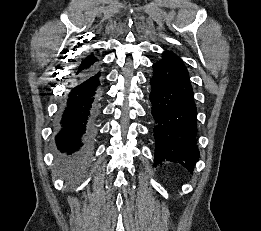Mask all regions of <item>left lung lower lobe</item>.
<instances>
[{"mask_svg":"<svg viewBox=\"0 0 261 231\" xmlns=\"http://www.w3.org/2000/svg\"><path fill=\"white\" fill-rule=\"evenodd\" d=\"M153 70L150 101L154 119V165L174 162L193 172L199 150L197 110L188 71L164 54L153 64Z\"/></svg>","mask_w":261,"mask_h":231,"instance_id":"obj_1","label":"left lung lower lobe"}]
</instances>
